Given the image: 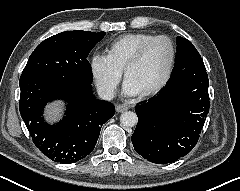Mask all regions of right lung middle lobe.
<instances>
[{"mask_svg": "<svg viewBox=\"0 0 240 191\" xmlns=\"http://www.w3.org/2000/svg\"><path fill=\"white\" fill-rule=\"evenodd\" d=\"M105 34L76 30L47 38L32 52L21 76L52 73L91 84L87 56Z\"/></svg>", "mask_w": 240, "mask_h": 191, "instance_id": "obj_1", "label": "right lung middle lobe"}]
</instances>
